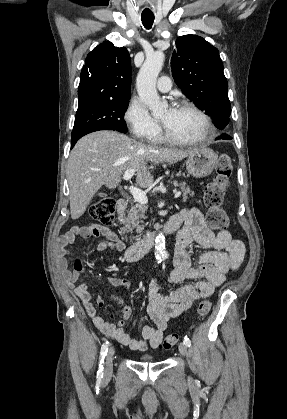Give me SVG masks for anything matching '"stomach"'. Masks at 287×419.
<instances>
[{"label": "stomach", "mask_w": 287, "mask_h": 419, "mask_svg": "<svg viewBox=\"0 0 287 419\" xmlns=\"http://www.w3.org/2000/svg\"><path fill=\"white\" fill-rule=\"evenodd\" d=\"M216 163L217 155L212 149L206 147L195 149L186 160L188 172L196 178L209 176Z\"/></svg>", "instance_id": "0dacf381"}]
</instances>
